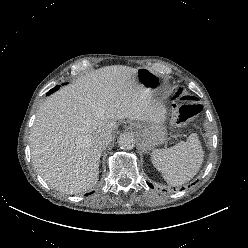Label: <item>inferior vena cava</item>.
Instances as JSON below:
<instances>
[{
	"label": "inferior vena cava",
	"instance_id": "inferior-vena-cava-1",
	"mask_svg": "<svg viewBox=\"0 0 248 248\" xmlns=\"http://www.w3.org/2000/svg\"><path fill=\"white\" fill-rule=\"evenodd\" d=\"M111 138H112V133L110 131H104L97 134L94 141L95 143L101 146H105L109 143Z\"/></svg>",
	"mask_w": 248,
	"mask_h": 248
}]
</instances>
